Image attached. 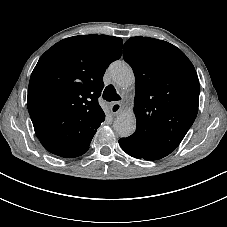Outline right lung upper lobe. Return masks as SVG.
<instances>
[{
  "label": "right lung upper lobe",
  "mask_w": 227,
  "mask_h": 227,
  "mask_svg": "<svg viewBox=\"0 0 227 227\" xmlns=\"http://www.w3.org/2000/svg\"><path fill=\"white\" fill-rule=\"evenodd\" d=\"M121 52V38L92 34L61 40L41 56L31 74L27 105L49 152L77 157L88 150L105 119L98 104L103 75Z\"/></svg>",
  "instance_id": "right-lung-upper-lobe-1"
}]
</instances>
